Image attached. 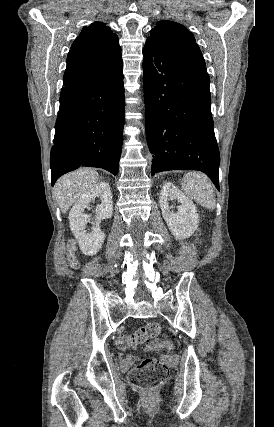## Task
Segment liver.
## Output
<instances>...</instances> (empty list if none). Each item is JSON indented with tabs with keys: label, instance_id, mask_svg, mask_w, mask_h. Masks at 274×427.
<instances>
[{
	"label": "liver",
	"instance_id": "liver-1",
	"mask_svg": "<svg viewBox=\"0 0 274 427\" xmlns=\"http://www.w3.org/2000/svg\"><path fill=\"white\" fill-rule=\"evenodd\" d=\"M98 180L97 172L91 170V168H80L76 172H70V174L62 176L54 186L56 200L61 212L66 214L79 196L87 192L89 186H93Z\"/></svg>",
	"mask_w": 274,
	"mask_h": 427
}]
</instances>
